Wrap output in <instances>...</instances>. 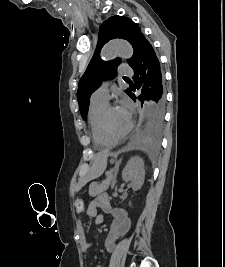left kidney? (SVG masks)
I'll list each match as a JSON object with an SVG mask.
<instances>
[{"mask_svg":"<svg viewBox=\"0 0 225 267\" xmlns=\"http://www.w3.org/2000/svg\"><path fill=\"white\" fill-rule=\"evenodd\" d=\"M122 179L130 182V186L134 191L141 189L144 179L145 170L142 158L136 156L131 158L122 171Z\"/></svg>","mask_w":225,"mask_h":267,"instance_id":"1","label":"left kidney"}]
</instances>
